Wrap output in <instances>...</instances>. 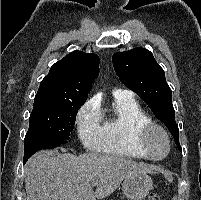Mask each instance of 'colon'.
I'll list each match as a JSON object with an SVG mask.
<instances>
[{"instance_id":"1","label":"colon","mask_w":201,"mask_h":200,"mask_svg":"<svg viewBox=\"0 0 201 200\" xmlns=\"http://www.w3.org/2000/svg\"><path fill=\"white\" fill-rule=\"evenodd\" d=\"M148 200H161L160 198V195L157 194V193H152L150 196H149V199Z\"/></svg>"}]
</instances>
